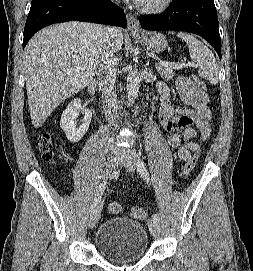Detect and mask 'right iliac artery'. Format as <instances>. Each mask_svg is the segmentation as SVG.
<instances>
[{
	"label": "right iliac artery",
	"instance_id": "1",
	"mask_svg": "<svg viewBox=\"0 0 253 271\" xmlns=\"http://www.w3.org/2000/svg\"><path fill=\"white\" fill-rule=\"evenodd\" d=\"M106 187H107V180H104L99 185L98 190H97V192L95 194V198H94L93 204L91 206V212L96 208V206L101 201V197H102L103 193L105 192Z\"/></svg>",
	"mask_w": 253,
	"mask_h": 271
}]
</instances>
